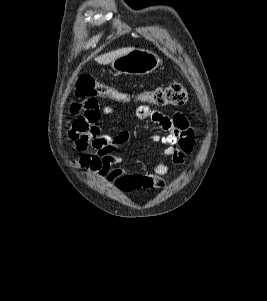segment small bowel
I'll return each mask as SVG.
<instances>
[{
	"mask_svg": "<svg viewBox=\"0 0 267 301\" xmlns=\"http://www.w3.org/2000/svg\"><path fill=\"white\" fill-rule=\"evenodd\" d=\"M112 112L111 106L101 108L96 98H86L70 105V113L75 119L69 125L68 134L70 139L75 141L77 150L82 153L76 162L77 165L124 193L165 188L163 177L168 172L167 160L180 167L186 157L194 153L195 129L182 113L177 112L169 116L148 106H139L136 109V117L151 121L164 132L153 134L152 142L163 144L166 148L163 159L155 164L152 170L129 171L122 167H114L121 162L116 151L127 142V133L109 136L101 132L99 123L102 116ZM88 148L92 152L87 153Z\"/></svg>",
	"mask_w": 267,
	"mask_h": 301,
	"instance_id": "c3829d8e",
	"label": "small bowel"
}]
</instances>
